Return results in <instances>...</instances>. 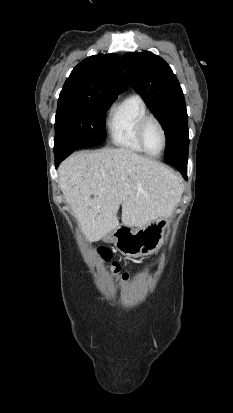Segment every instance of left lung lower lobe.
<instances>
[{
  "mask_svg": "<svg viewBox=\"0 0 233 413\" xmlns=\"http://www.w3.org/2000/svg\"><path fill=\"white\" fill-rule=\"evenodd\" d=\"M182 174L185 180H187V163H174V165Z\"/></svg>",
  "mask_w": 233,
  "mask_h": 413,
  "instance_id": "left-lung-lower-lobe-1",
  "label": "left lung lower lobe"
}]
</instances>
